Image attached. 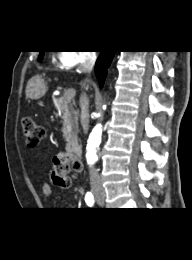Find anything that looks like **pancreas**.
Wrapping results in <instances>:
<instances>
[{"mask_svg": "<svg viewBox=\"0 0 192 260\" xmlns=\"http://www.w3.org/2000/svg\"><path fill=\"white\" fill-rule=\"evenodd\" d=\"M56 103V109L63 119V135L65 140L69 141L70 131L78 126V111L64 97L56 99Z\"/></svg>", "mask_w": 192, "mask_h": 260, "instance_id": "cf45deb5", "label": "pancreas"}]
</instances>
